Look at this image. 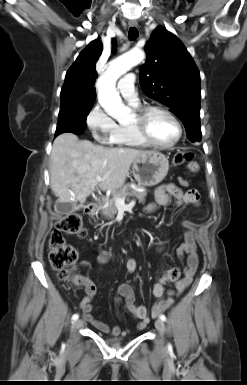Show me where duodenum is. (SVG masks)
Masks as SVG:
<instances>
[{
    "label": "duodenum",
    "mask_w": 247,
    "mask_h": 385,
    "mask_svg": "<svg viewBox=\"0 0 247 385\" xmlns=\"http://www.w3.org/2000/svg\"><path fill=\"white\" fill-rule=\"evenodd\" d=\"M99 205L97 203H89L87 206H86V214L90 217H95L97 216L98 212H99Z\"/></svg>",
    "instance_id": "410a0bca"
}]
</instances>
